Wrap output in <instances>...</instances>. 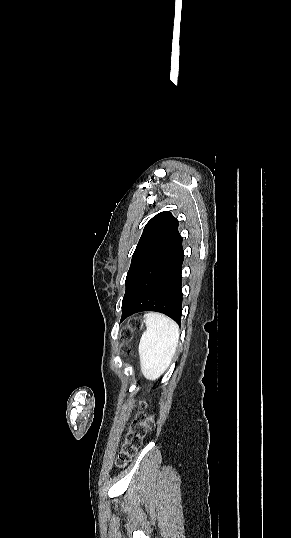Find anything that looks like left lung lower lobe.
Instances as JSON below:
<instances>
[{
    "instance_id": "obj_1",
    "label": "left lung lower lobe",
    "mask_w": 291,
    "mask_h": 538,
    "mask_svg": "<svg viewBox=\"0 0 291 538\" xmlns=\"http://www.w3.org/2000/svg\"><path fill=\"white\" fill-rule=\"evenodd\" d=\"M183 260L182 237L179 236L141 275L129 298L122 304L121 320L140 311H156L180 324Z\"/></svg>"
}]
</instances>
